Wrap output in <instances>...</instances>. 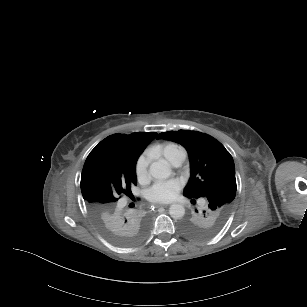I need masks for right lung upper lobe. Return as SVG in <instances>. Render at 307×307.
<instances>
[{
	"label": "right lung upper lobe",
	"mask_w": 307,
	"mask_h": 307,
	"mask_svg": "<svg viewBox=\"0 0 307 307\" xmlns=\"http://www.w3.org/2000/svg\"><path fill=\"white\" fill-rule=\"evenodd\" d=\"M155 132L113 134L88 155L81 175V192L97 226L124 240L145 234L149 217L131 194L139 155ZM135 206V207H134Z\"/></svg>",
	"instance_id": "right-lung-upper-lobe-1"
}]
</instances>
